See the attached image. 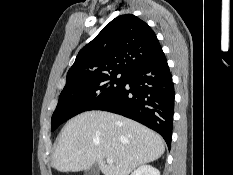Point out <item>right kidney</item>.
Masks as SVG:
<instances>
[{
	"instance_id": "right-kidney-1",
	"label": "right kidney",
	"mask_w": 233,
	"mask_h": 175,
	"mask_svg": "<svg viewBox=\"0 0 233 175\" xmlns=\"http://www.w3.org/2000/svg\"><path fill=\"white\" fill-rule=\"evenodd\" d=\"M131 175H160V172L150 165H143L134 170Z\"/></svg>"
}]
</instances>
